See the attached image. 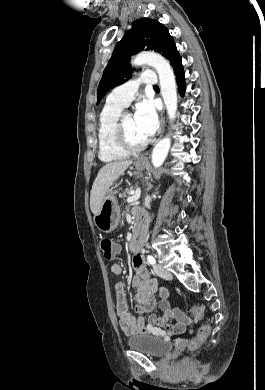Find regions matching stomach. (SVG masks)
I'll list each match as a JSON object with an SVG mask.
<instances>
[{
  "label": "stomach",
  "mask_w": 265,
  "mask_h": 390,
  "mask_svg": "<svg viewBox=\"0 0 265 390\" xmlns=\"http://www.w3.org/2000/svg\"><path fill=\"white\" fill-rule=\"evenodd\" d=\"M137 170L142 171L147 167V163L138 160L135 163ZM120 221V208L115 197L113 188L106 193L100 211L94 215V223L97 228L105 233H110L115 230Z\"/></svg>",
  "instance_id": "stomach-1"
}]
</instances>
